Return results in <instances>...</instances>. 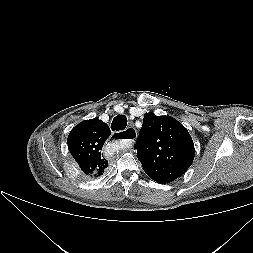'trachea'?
I'll use <instances>...</instances> for the list:
<instances>
[{"label":"trachea","mask_w":253,"mask_h":253,"mask_svg":"<svg viewBox=\"0 0 253 253\" xmlns=\"http://www.w3.org/2000/svg\"><path fill=\"white\" fill-rule=\"evenodd\" d=\"M127 126V118L125 115H117L112 121V129L119 131L125 129Z\"/></svg>","instance_id":"trachea-1"}]
</instances>
